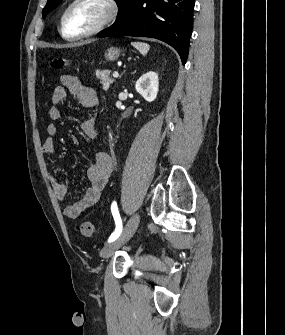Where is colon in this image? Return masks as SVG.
I'll use <instances>...</instances> for the list:
<instances>
[{"mask_svg":"<svg viewBox=\"0 0 285 335\" xmlns=\"http://www.w3.org/2000/svg\"><path fill=\"white\" fill-rule=\"evenodd\" d=\"M69 64V61L65 58H53L50 61V65L57 70L66 69L67 67H69ZM95 231V226L89 221H85L80 225V232L85 237L93 236L95 234Z\"/></svg>","mask_w":285,"mask_h":335,"instance_id":"1","label":"colon"}]
</instances>
